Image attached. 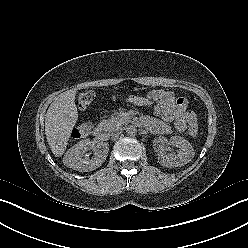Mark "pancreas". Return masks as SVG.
Masks as SVG:
<instances>
[{"mask_svg": "<svg viewBox=\"0 0 248 248\" xmlns=\"http://www.w3.org/2000/svg\"><path fill=\"white\" fill-rule=\"evenodd\" d=\"M131 122V118L124 112H119L116 116L110 117L108 120H105L103 123L110 129Z\"/></svg>", "mask_w": 248, "mask_h": 248, "instance_id": "cf45deb5", "label": "pancreas"}]
</instances>
